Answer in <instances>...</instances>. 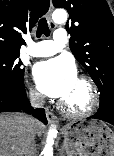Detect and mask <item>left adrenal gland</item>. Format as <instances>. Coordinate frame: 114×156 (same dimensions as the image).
<instances>
[{
  "mask_svg": "<svg viewBox=\"0 0 114 156\" xmlns=\"http://www.w3.org/2000/svg\"><path fill=\"white\" fill-rule=\"evenodd\" d=\"M60 156H63V149L60 150Z\"/></svg>",
  "mask_w": 114,
  "mask_h": 156,
  "instance_id": "obj_1",
  "label": "left adrenal gland"
}]
</instances>
